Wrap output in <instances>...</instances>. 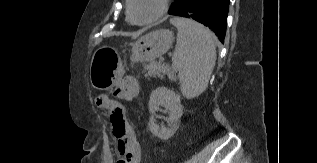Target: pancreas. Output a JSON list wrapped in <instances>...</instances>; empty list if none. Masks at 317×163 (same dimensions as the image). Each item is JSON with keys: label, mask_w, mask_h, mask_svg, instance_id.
I'll return each instance as SVG.
<instances>
[{"label": "pancreas", "mask_w": 317, "mask_h": 163, "mask_svg": "<svg viewBox=\"0 0 317 163\" xmlns=\"http://www.w3.org/2000/svg\"><path fill=\"white\" fill-rule=\"evenodd\" d=\"M144 73L146 72L147 76H160L161 73L165 74L169 72V67L164 64H160L157 62H150L149 64L144 65Z\"/></svg>", "instance_id": "obj_1"}]
</instances>
